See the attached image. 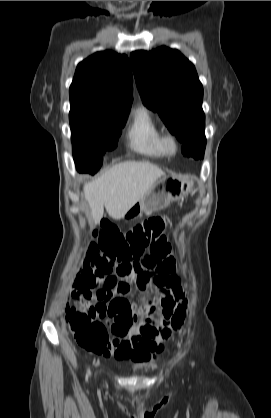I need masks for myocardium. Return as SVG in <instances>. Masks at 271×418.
<instances>
[{"instance_id":"obj_1","label":"myocardium","mask_w":271,"mask_h":418,"mask_svg":"<svg viewBox=\"0 0 271 418\" xmlns=\"http://www.w3.org/2000/svg\"><path fill=\"white\" fill-rule=\"evenodd\" d=\"M162 145L167 154H176L178 150L177 137L172 133L162 135Z\"/></svg>"}]
</instances>
